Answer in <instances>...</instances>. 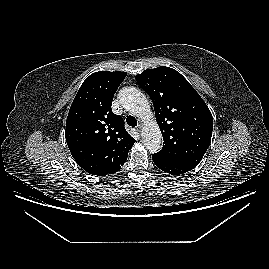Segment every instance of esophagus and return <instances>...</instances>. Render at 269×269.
<instances>
[{
	"label": "esophagus",
	"instance_id": "esophagus-1",
	"mask_svg": "<svg viewBox=\"0 0 269 269\" xmlns=\"http://www.w3.org/2000/svg\"><path fill=\"white\" fill-rule=\"evenodd\" d=\"M142 127H143L142 124L139 123V124L137 125V127H136V130H137L138 132H141Z\"/></svg>",
	"mask_w": 269,
	"mask_h": 269
}]
</instances>
